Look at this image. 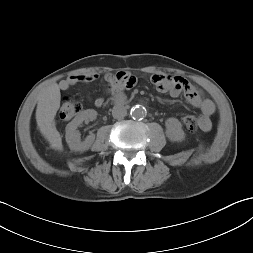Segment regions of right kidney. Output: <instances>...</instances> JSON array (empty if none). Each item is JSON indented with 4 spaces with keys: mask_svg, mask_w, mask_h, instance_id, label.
Segmentation results:
<instances>
[{
    "mask_svg": "<svg viewBox=\"0 0 253 253\" xmlns=\"http://www.w3.org/2000/svg\"><path fill=\"white\" fill-rule=\"evenodd\" d=\"M97 112L93 109H88L77 115L66 126V142L69 148L73 151H86L88 150L95 140V135H89L84 141H81L80 133L77 128L83 123V121H93L96 119Z\"/></svg>",
    "mask_w": 253,
    "mask_h": 253,
    "instance_id": "ca27d5eb",
    "label": "right kidney"
}]
</instances>
